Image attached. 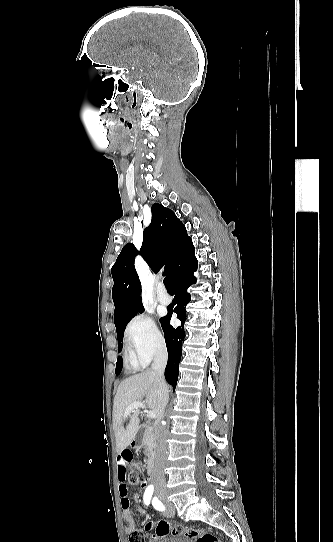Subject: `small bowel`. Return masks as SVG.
<instances>
[{"label":"small bowel","mask_w":333,"mask_h":542,"mask_svg":"<svg viewBox=\"0 0 333 542\" xmlns=\"http://www.w3.org/2000/svg\"><path fill=\"white\" fill-rule=\"evenodd\" d=\"M131 449L126 447L118 457L117 461V482H118V494L120 497V507L122 510V517L127 522L126 532L130 534L136 530V524L132 516L131 503L128 498V487L126 484V470L127 466L132 460ZM149 477H144L143 481L140 484L141 490H146L147 485H149ZM142 497L139 493L134 495V502L138 505L137 513L143 514L145 511L143 507L140 506Z\"/></svg>","instance_id":"1"}]
</instances>
